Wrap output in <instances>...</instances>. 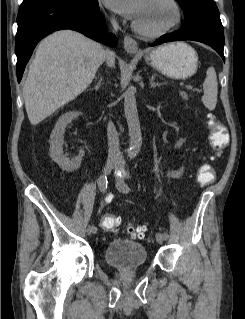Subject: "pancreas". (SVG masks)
<instances>
[{
    "instance_id": "cf45deb5",
    "label": "pancreas",
    "mask_w": 245,
    "mask_h": 319,
    "mask_svg": "<svg viewBox=\"0 0 245 319\" xmlns=\"http://www.w3.org/2000/svg\"><path fill=\"white\" fill-rule=\"evenodd\" d=\"M182 97H183V99H185V100L188 99L187 95H185V94H182Z\"/></svg>"
}]
</instances>
